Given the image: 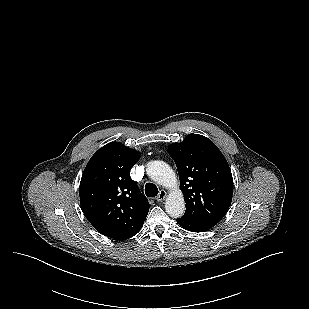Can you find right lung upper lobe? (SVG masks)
Masks as SVG:
<instances>
[{"instance_id": "cb5924a9", "label": "right lung upper lobe", "mask_w": 309, "mask_h": 309, "mask_svg": "<svg viewBox=\"0 0 309 309\" xmlns=\"http://www.w3.org/2000/svg\"><path fill=\"white\" fill-rule=\"evenodd\" d=\"M138 151L111 142L89 160L80 182L84 215L101 234L124 240L143 226L150 204L130 177Z\"/></svg>"}]
</instances>
